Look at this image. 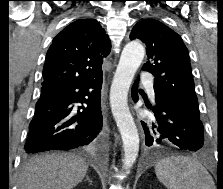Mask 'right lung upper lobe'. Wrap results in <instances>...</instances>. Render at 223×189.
<instances>
[{"instance_id":"right-lung-upper-lobe-1","label":"right lung upper lobe","mask_w":223,"mask_h":189,"mask_svg":"<svg viewBox=\"0 0 223 189\" xmlns=\"http://www.w3.org/2000/svg\"><path fill=\"white\" fill-rule=\"evenodd\" d=\"M110 49V40L97 20L72 22L56 35L47 51L42 86L77 83L102 75L103 58Z\"/></svg>"}]
</instances>
